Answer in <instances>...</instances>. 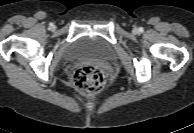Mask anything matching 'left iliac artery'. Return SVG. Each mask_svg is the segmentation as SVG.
<instances>
[{
	"instance_id": "1",
	"label": "left iliac artery",
	"mask_w": 194,
	"mask_h": 133,
	"mask_svg": "<svg viewBox=\"0 0 194 133\" xmlns=\"http://www.w3.org/2000/svg\"><path fill=\"white\" fill-rule=\"evenodd\" d=\"M139 30H140V32H142L143 31V28H139Z\"/></svg>"
}]
</instances>
